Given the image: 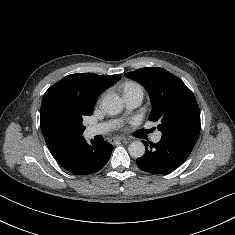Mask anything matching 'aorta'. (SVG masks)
<instances>
[{
    "label": "aorta",
    "mask_w": 235,
    "mask_h": 235,
    "mask_svg": "<svg viewBox=\"0 0 235 235\" xmlns=\"http://www.w3.org/2000/svg\"><path fill=\"white\" fill-rule=\"evenodd\" d=\"M101 108L106 114H119L123 110V100L117 94H107L101 100ZM128 151L131 157L138 159L145 154V146L141 141H133Z\"/></svg>",
    "instance_id": "aorta-1"
}]
</instances>
